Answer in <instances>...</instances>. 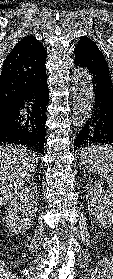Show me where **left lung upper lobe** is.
<instances>
[{
  "label": "left lung upper lobe",
  "instance_id": "obj_1",
  "mask_svg": "<svg viewBox=\"0 0 113 279\" xmlns=\"http://www.w3.org/2000/svg\"><path fill=\"white\" fill-rule=\"evenodd\" d=\"M75 56H79L87 62L98 65L109 73V67L103 53L97 45L86 36L80 38L77 47L74 50Z\"/></svg>",
  "mask_w": 113,
  "mask_h": 279
}]
</instances>
